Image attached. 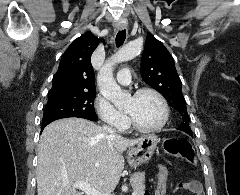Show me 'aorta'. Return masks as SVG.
<instances>
[{"label": "aorta", "mask_w": 240, "mask_h": 195, "mask_svg": "<svg viewBox=\"0 0 240 195\" xmlns=\"http://www.w3.org/2000/svg\"><path fill=\"white\" fill-rule=\"evenodd\" d=\"M142 46V42H137V40L129 42L124 48L118 50L114 56H111L109 60H106L97 76L100 94H102L104 98L109 99V101H112L114 105H119L120 101L124 99L125 94H123L120 86H118L113 78V66L136 58L137 54L141 52Z\"/></svg>", "instance_id": "1"}]
</instances>
